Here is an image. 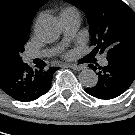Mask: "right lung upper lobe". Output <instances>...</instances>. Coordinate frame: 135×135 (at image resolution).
I'll return each mask as SVG.
<instances>
[{
	"label": "right lung upper lobe",
	"instance_id": "cb5924a9",
	"mask_svg": "<svg viewBox=\"0 0 135 135\" xmlns=\"http://www.w3.org/2000/svg\"><path fill=\"white\" fill-rule=\"evenodd\" d=\"M49 0H0V9L12 18L21 20L31 25V20L36 11Z\"/></svg>",
	"mask_w": 135,
	"mask_h": 135
}]
</instances>
